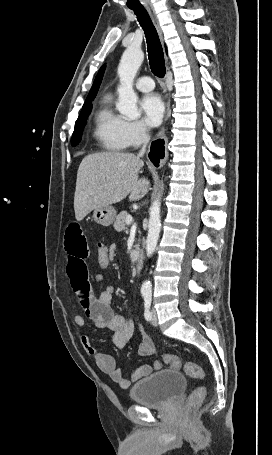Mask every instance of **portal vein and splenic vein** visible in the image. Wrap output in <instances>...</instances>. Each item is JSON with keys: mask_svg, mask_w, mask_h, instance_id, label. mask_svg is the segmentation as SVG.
<instances>
[{"mask_svg": "<svg viewBox=\"0 0 272 455\" xmlns=\"http://www.w3.org/2000/svg\"><path fill=\"white\" fill-rule=\"evenodd\" d=\"M125 222H126L127 225H130V224L132 223V217H131L130 215H128V216L126 217Z\"/></svg>", "mask_w": 272, "mask_h": 455, "instance_id": "portal-vein-and-splenic-vein-1", "label": "portal vein and splenic vein"}]
</instances>
